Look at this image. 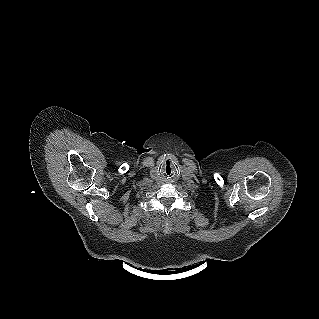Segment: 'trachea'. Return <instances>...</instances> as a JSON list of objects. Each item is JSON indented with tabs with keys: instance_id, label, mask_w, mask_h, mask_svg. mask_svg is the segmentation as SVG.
<instances>
[{
	"instance_id": "obj_1",
	"label": "trachea",
	"mask_w": 319,
	"mask_h": 319,
	"mask_svg": "<svg viewBox=\"0 0 319 319\" xmlns=\"http://www.w3.org/2000/svg\"><path fill=\"white\" fill-rule=\"evenodd\" d=\"M164 171H165L166 175H170L172 173L173 168H172L170 163H168V162L166 163V165L164 167Z\"/></svg>"
}]
</instances>
